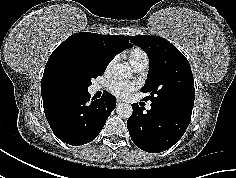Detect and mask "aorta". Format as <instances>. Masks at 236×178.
<instances>
[{
    "mask_svg": "<svg viewBox=\"0 0 236 178\" xmlns=\"http://www.w3.org/2000/svg\"><path fill=\"white\" fill-rule=\"evenodd\" d=\"M112 73L114 78L117 80L127 79L132 76L130 68L121 63L113 67ZM116 112L119 117L123 119H128L132 115L133 109L130 104L121 103L117 106Z\"/></svg>",
    "mask_w": 236,
    "mask_h": 178,
    "instance_id": "aorta-1",
    "label": "aorta"
}]
</instances>
